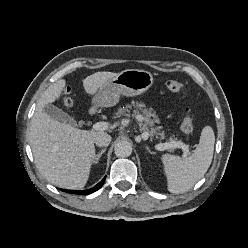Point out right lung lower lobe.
<instances>
[{
  "mask_svg": "<svg viewBox=\"0 0 248 248\" xmlns=\"http://www.w3.org/2000/svg\"><path fill=\"white\" fill-rule=\"evenodd\" d=\"M105 181V178L99 182L96 186H94L93 188L91 189H88V190H84V191H77V190H63L64 192H68V193H73V194H79V195H88V194H91L95 191H97L98 189H100V187L103 185Z\"/></svg>",
  "mask_w": 248,
  "mask_h": 248,
  "instance_id": "right-lung-lower-lobe-1",
  "label": "right lung lower lobe"
}]
</instances>
